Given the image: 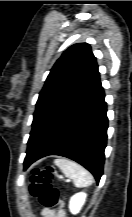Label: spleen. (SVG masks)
I'll return each instance as SVG.
<instances>
[{"label":"spleen","mask_w":132,"mask_h":217,"mask_svg":"<svg viewBox=\"0 0 132 217\" xmlns=\"http://www.w3.org/2000/svg\"><path fill=\"white\" fill-rule=\"evenodd\" d=\"M54 163L65 176L73 180L76 187L82 188L92 184L93 176L80 164L66 158H58Z\"/></svg>","instance_id":"3e777b00"}]
</instances>
